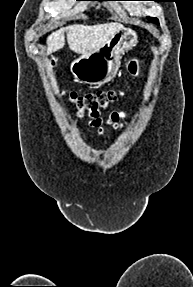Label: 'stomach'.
Masks as SVG:
<instances>
[{
	"label": "stomach",
	"instance_id": "1",
	"mask_svg": "<svg viewBox=\"0 0 193 287\" xmlns=\"http://www.w3.org/2000/svg\"><path fill=\"white\" fill-rule=\"evenodd\" d=\"M138 43L135 31L122 28L106 44L88 55H80L70 65V71L79 82L100 85L114 79L122 56Z\"/></svg>",
	"mask_w": 193,
	"mask_h": 287
}]
</instances>
